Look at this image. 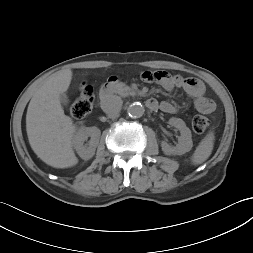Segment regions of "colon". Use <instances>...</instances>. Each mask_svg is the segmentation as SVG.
I'll use <instances>...</instances> for the list:
<instances>
[{"label": "colon", "mask_w": 253, "mask_h": 253, "mask_svg": "<svg viewBox=\"0 0 253 253\" xmlns=\"http://www.w3.org/2000/svg\"><path fill=\"white\" fill-rule=\"evenodd\" d=\"M94 104V90L92 86H84L79 96L73 101L69 108L72 117L80 119L88 115ZM210 120L202 114H198L192 119V128L196 133H203L209 126Z\"/></svg>", "instance_id": "5ec220e1"}]
</instances>
